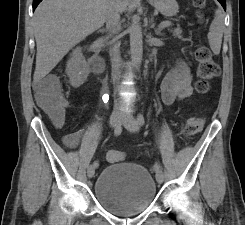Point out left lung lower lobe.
I'll return each mask as SVG.
<instances>
[{
  "label": "left lung lower lobe",
  "mask_w": 245,
  "mask_h": 225,
  "mask_svg": "<svg viewBox=\"0 0 245 225\" xmlns=\"http://www.w3.org/2000/svg\"><path fill=\"white\" fill-rule=\"evenodd\" d=\"M218 1L221 3L223 8L226 10V2H225V0H218Z\"/></svg>",
  "instance_id": "left-lung-lower-lobe-1"
}]
</instances>
